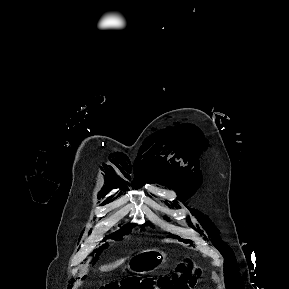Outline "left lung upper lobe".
Instances as JSON below:
<instances>
[{
    "label": "left lung upper lobe",
    "mask_w": 289,
    "mask_h": 289,
    "mask_svg": "<svg viewBox=\"0 0 289 289\" xmlns=\"http://www.w3.org/2000/svg\"><path fill=\"white\" fill-rule=\"evenodd\" d=\"M168 237H174V238H177V239H179L180 241H184L183 239H181L180 237H178V236H175V235H173V234H169V236Z\"/></svg>",
    "instance_id": "5c2ea615"
}]
</instances>
